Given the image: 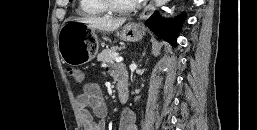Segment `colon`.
Listing matches in <instances>:
<instances>
[{
  "instance_id": "obj_1",
  "label": "colon",
  "mask_w": 257,
  "mask_h": 130,
  "mask_svg": "<svg viewBox=\"0 0 257 130\" xmlns=\"http://www.w3.org/2000/svg\"><path fill=\"white\" fill-rule=\"evenodd\" d=\"M68 74L76 83H82L85 80V72L77 67H69L67 69Z\"/></svg>"
}]
</instances>
